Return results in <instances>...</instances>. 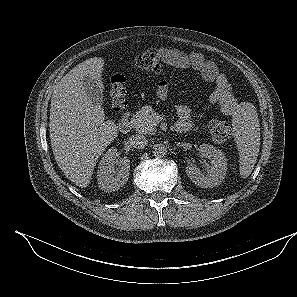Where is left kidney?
Here are the masks:
<instances>
[{
	"label": "left kidney",
	"instance_id": "left-kidney-1",
	"mask_svg": "<svg viewBox=\"0 0 297 297\" xmlns=\"http://www.w3.org/2000/svg\"><path fill=\"white\" fill-rule=\"evenodd\" d=\"M200 152L210 160V165L206 167V174L202 173L196 165L187 166L186 173L197 186L213 188L222 182L226 176L227 159L220 150L212 145H200Z\"/></svg>",
	"mask_w": 297,
	"mask_h": 297
}]
</instances>
